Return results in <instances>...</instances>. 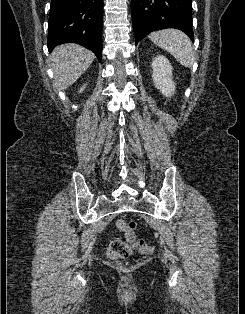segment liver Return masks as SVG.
I'll return each mask as SVG.
<instances>
[{"instance_id": "1", "label": "liver", "mask_w": 245, "mask_h": 314, "mask_svg": "<svg viewBox=\"0 0 245 314\" xmlns=\"http://www.w3.org/2000/svg\"><path fill=\"white\" fill-rule=\"evenodd\" d=\"M95 55L88 49L73 43L57 46L51 56L54 87L64 90L71 86L88 69Z\"/></svg>"}]
</instances>
